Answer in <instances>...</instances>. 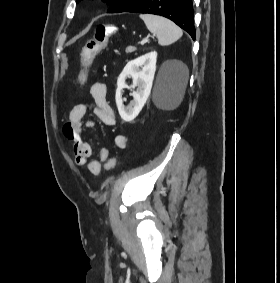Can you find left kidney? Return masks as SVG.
<instances>
[{"mask_svg": "<svg viewBox=\"0 0 280 283\" xmlns=\"http://www.w3.org/2000/svg\"><path fill=\"white\" fill-rule=\"evenodd\" d=\"M156 61L157 52L153 51L147 53L129 61L119 75L117 79L115 100L119 115L125 122H130L135 119L146 103L154 80ZM127 77H131L133 80L132 88L134 89L137 87L136 91H133L132 93L134 100L129 107L123 105L122 99L123 89L128 88V85L125 82Z\"/></svg>", "mask_w": 280, "mask_h": 283, "instance_id": "left-kidney-1", "label": "left kidney"}]
</instances>
